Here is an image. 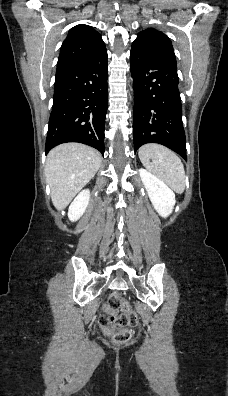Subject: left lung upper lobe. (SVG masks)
Masks as SVG:
<instances>
[{
    "label": "left lung upper lobe",
    "mask_w": 228,
    "mask_h": 396,
    "mask_svg": "<svg viewBox=\"0 0 228 396\" xmlns=\"http://www.w3.org/2000/svg\"><path fill=\"white\" fill-rule=\"evenodd\" d=\"M133 43L161 49L175 58L170 39L165 34L156 29L149 28L141 31Z\"/></svg>",
    "instance_id": "obj_1"
}]
</instances>
